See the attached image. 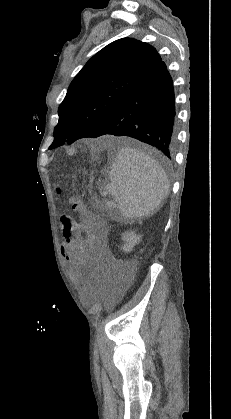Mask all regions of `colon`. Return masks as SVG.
Instances as JSON below:
<instances>
[{
  "instance_id": "colon-1",
  "label": "colon",
  "mask_w": 231,
  "mask_h": 419,
  "mask_svg": "<svg viewBox=\"0 0 231 419\" xmlns=\"http://www.w3.org/2000/svg\"><path fill=\"white\" fill-rule=\"evenodd\" d=\"M69 203H70V206H71V208L74 212L79 214L84 220L89 219V216H88L87 210L85 208V205L80 199L75 198V197H71L69 199ZM89 236H90V238H92L91 231H89ZM88 246L90 247V250L88 251V254L90 256H93L95 254V250L97 249V241L95 239H90L88 241ZM88 287H89V291L91 293H96L98 291V286L96 284L89 283Z\"/></svg>"
}]
</instances>
